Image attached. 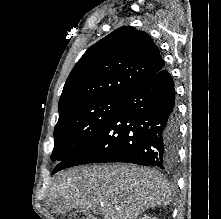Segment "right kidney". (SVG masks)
<instances>
[{
  "mask_svg": "<svg viewBox=\"0 0 221 219\" xmlns=\"http://www.w3.org/2000/svg\"><path fill=\"white\" fill-rule=\"evenodd\" d=\"M139 219H157V218H155V217H150V216H148V215H145L144 217L139 218Z\"/></svg>",
  "mask_w": 221,
  "mask_h": 219,
  "instance_id": "right-kidney-1",
  "label": "right kidney"
}]
</instances>
